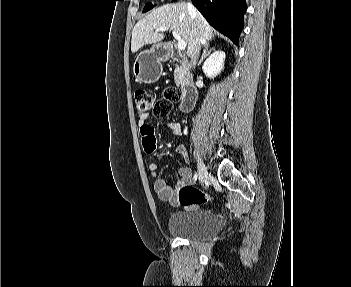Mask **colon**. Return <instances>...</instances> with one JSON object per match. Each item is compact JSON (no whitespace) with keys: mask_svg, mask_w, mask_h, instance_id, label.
<instances>
[{"mask_svg":"<svg viewBox=\"0 0 351 287\" xmlns=\"http://www.w3.org/2000/svg\"><path fill=\"white\" fill-rule=\"evenodd\" d=\"M181 92L177 88H167L163 92L162 99L154 101L152 94L147 90H137L135 92V106L138 114L143 115L152 111L158 119L166 117L174 103L181 100ZM156 139V138H155ZM213 198L208 193L190 185L182 186L178 192V201L184 207H192L212 201Z\"/></svg>","mask_w":351,"mask_h":287,"instance_id":"obj_1","label":"colon"}]
</instances>
